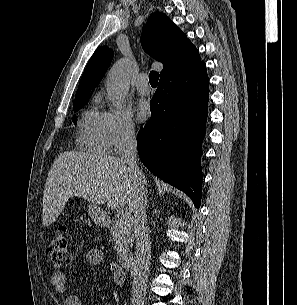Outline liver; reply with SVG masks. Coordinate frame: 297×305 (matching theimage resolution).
<instances>
[{"label": "liver", "mask_w": 297, "mask_h": 305, "mask_svg": "<svg viewBox=\"0 0 297 305\" xmlns=\"http://www.w3.org/2000/svg\"><path fill=\"white\" fill-rule=\"evenodd\" d=\"M136 188L134 175L120 157L63 152L52 164L46 179L43 226L48 227L56 221L68 199L73 196L84 198L95 205L107 203L111 209L127 205L132 211Z\"/></svg>", "instance_id": "liver-1"}]
</instances>
